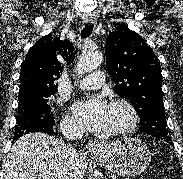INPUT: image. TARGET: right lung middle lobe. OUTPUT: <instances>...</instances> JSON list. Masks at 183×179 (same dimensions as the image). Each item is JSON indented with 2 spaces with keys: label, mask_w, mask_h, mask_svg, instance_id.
I'll return each mask as SVG.
<instances>
[{
  "label": "right lung middle lobe",
  "mask_w": 183,
  "mask_h": 179,
  "mask_svg": "<svg viewBox=\"0 0 183 179\" xmlns=\"http://www.w3.org/2000/svg\"><path fill=\"white\" fill-rule=\"evenodd\" d=\"M51 96L18 99V114L16 118L15 134L52 127L54 117L49 104Z\"/></svg>",
  "instance_id": "obj_1"
}]
</instances>
